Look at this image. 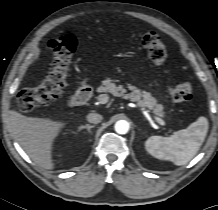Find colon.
I'll list each match as a JSON object with an SVG mask.
<instances>
[{
	"label": "colon",
	"instance_id": "colon-1",
	"mask_svg": "<svg viewBox=\"0 0 218 210\" xmlns=\"http://www.w3.org/2000/svg\"><path fill=\"white\" fill-rule=\"evenodd\" d=\"M142 45L147 58L155 65H161L166 59V47L154 32H147L142 36ZM78 47V39L73 35H66L61 39L59 48L55 52V64L46 79L39 85L21 92L19 98L22 106L36 109L58 100L67 86L69 63ZM169 94L177 102H188L192 99V85L181 82L170 86Z\"/></svg>",
	"mask_w": 218,
	"mask_h": 210
}]
</instances>
